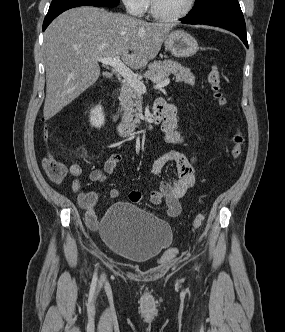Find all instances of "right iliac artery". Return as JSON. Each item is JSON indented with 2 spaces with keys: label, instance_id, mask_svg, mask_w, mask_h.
<instances>
[{
  "label": "right iliac artery",
  "instance_id": "obj_1",
  "mask_svg": "<svg viewBox=\"0 0 285 332\" xmlns=\"http://www.w3.org/2000/svg\"><path fill=\"white\" fill-rule=\"evenodd\" d=\"M93 278H94V280H96V278H97V275H96V273L94 274V277H93Z\"/></svg>",
  "mask_w": 285,
  "mask_h": 332
}]
</instances>
